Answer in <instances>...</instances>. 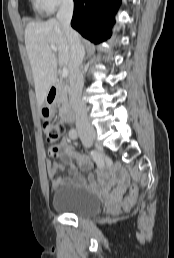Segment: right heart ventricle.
<instances>
[{"label": "right heart ventricle", "mask_w": 174, "mask_h": 258, "mask_svg": "<svg viewBox=\"0 0 174 258\" xmlns=\"http://www.w3.org/2000/svg\"><path fill=\"white\" fill-rule=\"evenodd\" d=\"M33 3H34V5H35V7L41 8V5H40V3H39V0H33Z\"/></svg>", "instance_id": "1"}]
</instances>
